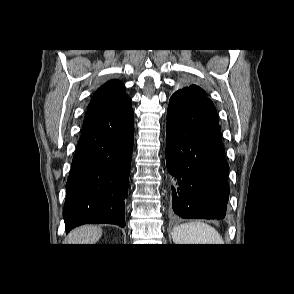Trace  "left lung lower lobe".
<instances>
[{
    "label": "left lung lower lobe",
    "instance_id": "0a47b994",
    "mask_svg": "<svg viewBox=\"0 0 294 294\" xmlns=\"http://www.w3.org/2000/svg\"><path fill=\"white\" fill-rule=\"evenodd\" d=\"M218 122L210 99L171 96L166 165L172 176V208L182 218L225 217L229 167Z\"/></svg>",
    "mask_w": 294,
    "mask_h": 294
}]
</instances>
